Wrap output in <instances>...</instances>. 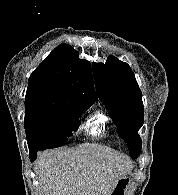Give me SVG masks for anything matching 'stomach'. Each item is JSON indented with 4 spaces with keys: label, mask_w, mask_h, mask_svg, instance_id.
<instances>
[{
    "label": "stomach",
    "mask_w": 178,
    "mask_h": 195,
    "mask_svg": "<svg viewBox=\"0 0 178 195\" xmlns=\"http://www.w3.org/2000/svg\"><path fill=\"white\" fill-rule=\"evenodd\" d=\"M117 190H118V184L116 185L115 189L113 190L111 194H114Z\"/></svg>",
    "instance_id": "stomach-1"
}]
</instances>
